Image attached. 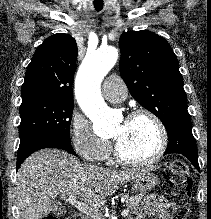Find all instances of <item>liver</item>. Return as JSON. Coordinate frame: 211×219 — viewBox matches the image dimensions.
I'll return each mask as SVG.
<instances>
[{"label":"liver","instance_id":"liver-1","mask_svg":"<svg viewBox=\"0 0 211 219\" xmlns=\"http://www.w3.org/2000/svg\"><path fill=\"white\" fill-rule=\"evenodd\" d=\"M138 170L117 171L81 164L70 154L44 149L29 156L17 173L15 197L19 219H42L57 195H74L93 209L105 205L118 186L131 181Z\"/></svg>","mask_w":211,"mask_h":219}]
</instances>
